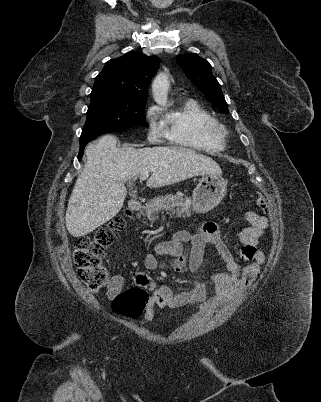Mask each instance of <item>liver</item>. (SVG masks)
Wrapping results in <instances>:
<instances>
[{"mask_svg": "<svg viewBox=\"0 0 321 402\" xmlns=\"http://www.w3.org/2000/svg\"><path fill=\"white\" fill-rule=\"evenodd\" d=\"M117 138L105 135L86 148L87 162L78 176L66 210V228L73 237L85 236L121 210L124 183L151 173V188L171 185L206 173L221 174L210 157L183 147H116Z\"/></svg>", "mask_w": 321, "mask_h": 402, "instance_id": "liver-1", "label": "liver"}]
</instances>
